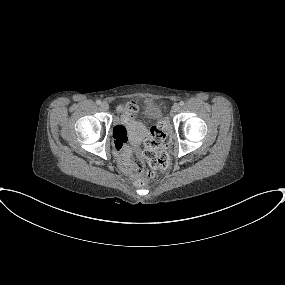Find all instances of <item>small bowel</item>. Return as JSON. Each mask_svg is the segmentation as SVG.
<instances>
[{"label": "small bowel", "instance_id": "small-bowel-1", "mask_svg": "<svg viewBox=\"0 0 285 285\" xmlns=\"http://www.w3.org/2000/svg\"><path fill=\"white\" fill-rule=\"evenodd\" d=\"M125 134V127L121 123L117 125L113 131V140H114V147L116 154L122 161V166L124 172L127 176L134 178L136 172L132 169V164L129 161V156L131 153V146L130 145H121L119 142V137Z\"/></svg>", "mask_w": 285, "mask_h": 285}]
</instances>
